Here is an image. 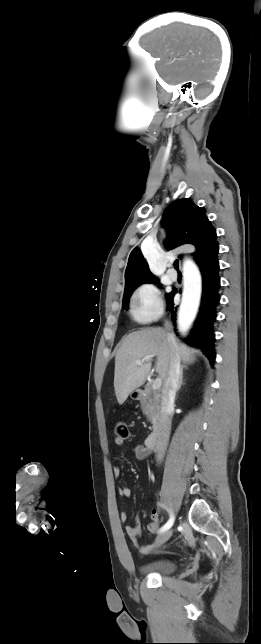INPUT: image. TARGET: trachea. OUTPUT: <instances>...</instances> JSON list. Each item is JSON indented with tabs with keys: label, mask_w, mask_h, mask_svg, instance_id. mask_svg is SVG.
<instances>
[{
	"label": "trachea",
	"mask_w": 261,
	"mask_h": 644,
	"mask_svg": "<svg viewBox=\"0 0 261 644\" xmlns=\"http://www.w3.org/2000/svg\"><path fill=\"white\" fill-rule=\"evenodd\" d=\"M174 267H175L176 269H178V267H179V261H178V260H175V261H174Z\"/></svg>",
	"instance_id": "trachea-1"
}]
</instances>
